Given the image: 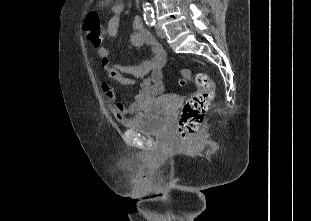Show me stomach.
<instances>
[{
  "label": "stomach",
  "mask_w": 311,
  "mask_h": 221,
  "mask_svg": "<svg viewBox=\"0 0 311 221\" xmlns=\"http://www.w3.org/2000/svg\"><path fill=\"white\" fill-rule=\"evenodd\" d=\"M100 4H104L105 0H99Z\"/></svg>",
  "instance_id": "1"
}]
</instances>
